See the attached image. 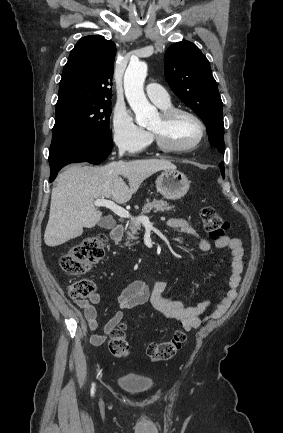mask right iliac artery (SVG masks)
Segmentation results:
<instances>
[{
	"mask_svg": "<svg viewBox=\"0 0 283 433\" xmlns=\"http://www.w3.org/2000/svg\"><path fill=\"white\" fill-rule=\"evenodd\" d=\"M94 391H95V389H94V384H93L92 389H91V395L94 394Z\"/></svg>",
	"mask_w": 283,
	"mask_h": 433,
	"instance_id": "1",
	"label": "right iliac artery"
}]
</instances>
